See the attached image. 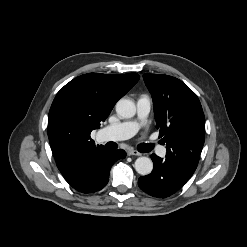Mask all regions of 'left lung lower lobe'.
Here are the masks:
<instances>
[{"instance_id": "1", "label": "left lung lower lobe", "mask_w": 247, "mask_h": 247, "mask_svg": "<svg viewBox=\"0 0 247 247\" xmlns=\"http://www.w3.org/2000/svg\"><path fill=\"white\" fill-rule=\"evenodd\" d=\"M153 171L140 177L138 185L144 192L155 197H167L180 189L191 178L195 170L175 158L165 159L152 154Z\"/></svg>"}]
</instances>
